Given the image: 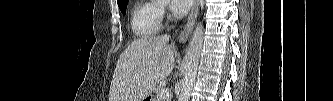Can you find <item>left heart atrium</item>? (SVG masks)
<instances>
[{"instance_id": "obj_1", "label": "left heart atrium", "mask_w": 333, "mask_h": 101, "mask_svg": "<svg viewBox=\"0 0 333 101\" xmlns=\"http://www.w3.org/2000/svg\"><path fill=\"white\" fill-rule=\"evenodd\" d=\"M192 4V0H172L170 1L171 9L178 15L186 13Z\"/></svg>"}]
</instances>
